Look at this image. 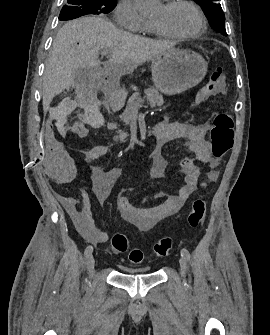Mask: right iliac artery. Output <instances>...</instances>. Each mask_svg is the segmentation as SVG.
Instances as JSON below:
<instances>
[{
    "label": "right iliac artery",
    "instance_id": "obj_1",
    "mask_svg": "<svg viewBox=\"0 0 270 335\" xmlns=\"http://www.w3.org/2000/svg\"><path fill=\"white\" fill-rule=\"evenodd\" d=\"M93 252V247L91 245L87 246L85 251H84V255L85 257H89Z\"/></svg>",
    "mask_w": 270,
    "mask_h": 335
}]
</instances>
